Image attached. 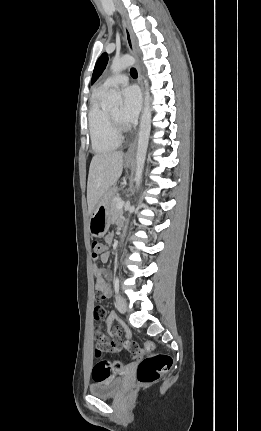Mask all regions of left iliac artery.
Returning <instances> with one entry per match:
<instances>
[{"label":"left iliac artery","instance_id":"1","mask_svg":"<svg viewBox=\"0 0 261 431\" xmlns=\"http://www.w3.org/2000/svg\"><path fill=\"white\" fill-rule=\"evenodd\" d=\"M114 289H115V293L118 294V292H119V279H118V277L115 279Z\"/></svg>","mask_w":261,"mask_h":431}]
</instances>
